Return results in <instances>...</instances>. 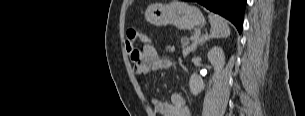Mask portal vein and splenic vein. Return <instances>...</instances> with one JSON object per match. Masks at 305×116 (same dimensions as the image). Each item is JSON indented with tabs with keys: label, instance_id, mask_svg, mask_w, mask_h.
<instances>
[{
	"label": "portal vein and splenic vein",
	"instance_id": "18ae733b",
	"mask_svg": "<svg viewBox=\"0 0 305 116\" xmlns=\"http://www.w3.org/2000/svg\"><path fill=\"white\" fill-rule=\"evenodd\" d=\"M199 34H200V33L196 32V33L194 34V39H198V38H199Z\"/></svg>",
	"mask_w": 305,
	"mask_h": 116
}]
</instances>
